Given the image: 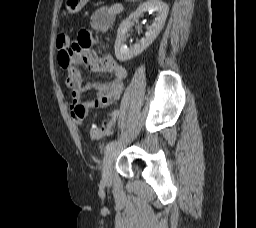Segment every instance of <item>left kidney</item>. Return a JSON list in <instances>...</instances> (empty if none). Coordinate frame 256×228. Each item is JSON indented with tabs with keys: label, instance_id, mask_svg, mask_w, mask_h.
<instances>
[{
	"label": "left kidney",
	"instance_id": "obj_1",
	"mask_svg": "<svg viewBox=\"0 0 256 228\" xmlns=\"http://www.w3.org/2000/svg\"><path fill=\"white\" fill-rule=\"evenodd\" d=\"M147 11H156L158 15L152 25L147 27L145 37L134 46L128 48L125 44V40L126 34L131 27V19L139 18L144 12ZM168 12V5L160 0H148L145 3H142L126 20L120 24L118 28L117 39L115 42L116 58L119 61L124 62L141 54L147 47H149L162 30Z\"/></svg>",
	"mask_w": 256,
	"mask_h": 228
}]
</instances>
